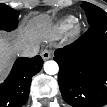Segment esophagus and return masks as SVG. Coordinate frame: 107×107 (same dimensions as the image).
Listing matches in <instances>:
<instances>
[{"instance_id":"34e87169","label":"esophagus","mask_w":107,"mask_h":107,"mask_svg":"<svg viewBox=\"0 0 107 107\" xmlns=\"http://www.w3.org/2000/svg\"><path fill=\"white\" fill-rule=\"evenodd\" d=\"M41 57L43 60H48L52 57V52L48 49H45L41 52Z\"/></svg>"}]
</instances>
